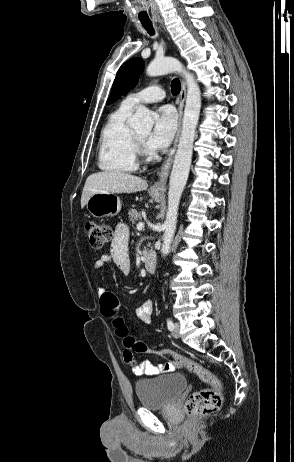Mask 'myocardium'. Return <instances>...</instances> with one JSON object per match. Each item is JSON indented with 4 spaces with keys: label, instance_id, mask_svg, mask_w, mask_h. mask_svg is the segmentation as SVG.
Here are the masks:
<instances>
[{
    "label": "myocardium",
    "instance_id": "obj_1",
    "mask_svg": "<svg viewBox=\"0 0 294 462\" xmlns=\"http://www.w3.org/2000/svg\"><path fill=\"white\" fill-rule=\"evenodd\" d=\"M134 140L137 147V155L138 157H142L147 159L149 157V153L145 148L144 141L141 140L136 134H134Z\"/></svg>",
    "mask_w": 294,
    "mask_h": 462
}]
</instances>
